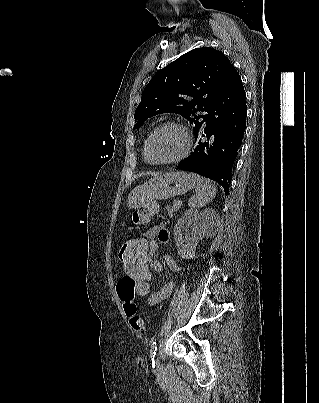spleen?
I'll use <instances>...</instances> for the list:
<instances>
[{"label": "spleen", "instance_id": "3e777b00", "mask_svg": "<svg viewBox=\"0 0 319 403\" xmlns=\"http://www.w3.org/2000/svg\"><path fill=\"white\" fill-rule=\"evenodd\" d=\"M196 183L195 194L188 200V206L199 208L208 204L216 196V187L210 180L195 173L189 174Z\"/></svg>", "mask_w": 319, "mask_h": 403}]
</instances>
